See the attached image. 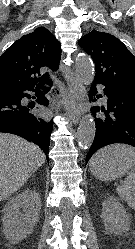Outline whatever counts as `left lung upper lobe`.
I'll list each match as a JSON object with an SVG mask.
<instances>
[{
    "label": "left lung upper lobe",
    "mask_w": 135,
    "mask_h": 249,
    "mask_svg": "<svg viewBox=\"0 0 135 249\" xmlns=\"http://www.w3.org/2000/svg\"><path fill=\"white\" fill-rule=\"evenodd\" d=\"M79 45L95 62L94 83L135 95V56L119 39L92 30Z\"/></svg>",
    "instance_id": "1"
}]
</instances>
